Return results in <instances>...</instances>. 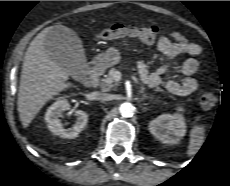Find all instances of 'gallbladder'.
<instances>
[{"mask_svg": "<svg viewBox=\"0 0 230 186\" xmlns=\"http://www.w3.org/2000/svg\"><path fill=\"white\" fill-rule=\"evenodd\" d=\"M47 54L76 80L85 79L86 57L77 34L65 26H54L44 40Z\"/></svg>", "mask_w": 230, "mask_h": 186, "instance_id": "gallbladder-1", "label": "gallbladder"}]
</instances>
